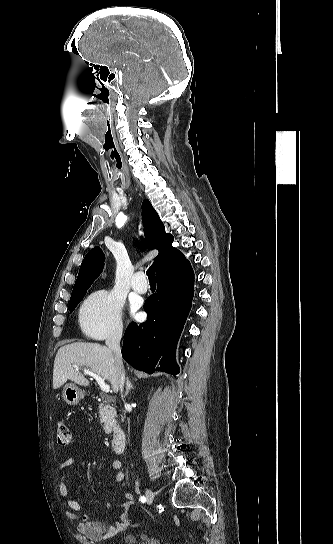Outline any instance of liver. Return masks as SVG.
<instances>
[{
    "label": "liver",
    "mask_w": 333,
    "mask_h": 544,
    "mask_svg": "<svg viewBox=\"0 0 333 544\" xmlns=\"http://www.w3.org/2000/svg\"><path fill=\"white\" fill-rule=\"evenodd\" d=\"M86 366L92 372L111 383L112 389L118 393V375L114 354L110 348L98 343L76 342L62 346L54 360L53 388L58 389L67 380L88 386L89 381L73 367Z\"/></svg>",
    "instance_id": "obj_1"
}]
</instances>
